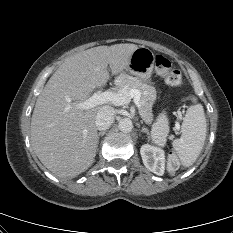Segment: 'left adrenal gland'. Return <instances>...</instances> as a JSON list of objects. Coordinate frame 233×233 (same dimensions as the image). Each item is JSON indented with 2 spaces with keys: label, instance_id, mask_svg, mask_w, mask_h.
<instances>
[{
  "label": "left adrenal gland",
  "instance_id": "1",
  "mask_svg": "<svg viewBox=\"0 0 233 233\" xmlns=\"http://www.w3.org/2000/svg\"><path fill=\"white\" fill-rule=\"evenodd\" d=\"M142 132L146 133L148 135V138H149L150 133H149L148 128L142 127Z\"/></svg>",
  "mask_w": 233,
  "mask_h": 233
}]
</instances>
